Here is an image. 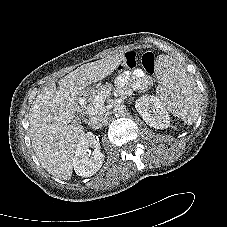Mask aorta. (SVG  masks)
I'll list each match as a JSON object with an SVG mask.
<instances>
[{"label": "aorta", "mask_w": 227, "mask_h": 227, "mask_svg": "<svg viewBox=\"0 0 227 227\" xmlns=\"http://www.w3.org/2000/svg\"><path fill=\"white\" fill-rule=\"evenodd\" d=\"M113 113L116 116H123L126 113V106L123 104H117L113 108Z\"/></svg>", "instance_id": "762f6f07"}]
</instances>
